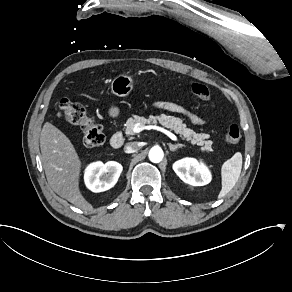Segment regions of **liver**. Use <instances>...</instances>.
Wrapping results in <instances>:
<instances>
[{"mask_svg": "<svg viewBox=\"0 0 292 292\" xmlns=\"http://www.w3.org/2000/svg\"><path fill=\"white\" fill-rule=\"evenodd\" d=\"M40 150L43 170L52 190L75 207L93 211V205L80 189L82 160L68 136L49 121L41 131Z\"/></svg>", "mask_w": 292, "mask_h": 292, "instance_id": "obj_1", "label": "liver"}]
</instances>
